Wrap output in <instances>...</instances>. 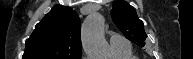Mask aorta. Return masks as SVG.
Instances as JSON below:
<instances>
[{
    "instance_id": "aorta-1",
    "label": "aorta",
    "mask_w": 193,
    "mask_h": 59,
    "mask_svg": "<svg viewBox=\"0 0 193 59\" xmlns=\"http://www.w3.org/2000/svg\"><path fill=\"white\" fill-rule=\"evenodd\" d=\"M82 41L90 59H113V54L104 38V18L99 13H92L84 21Z\"/></svg>"
}]
</instances>
